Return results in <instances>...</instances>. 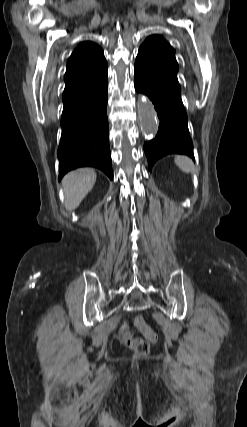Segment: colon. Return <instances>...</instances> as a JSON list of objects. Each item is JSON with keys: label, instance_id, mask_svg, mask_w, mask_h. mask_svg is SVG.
<instances>
[{"label": "colon", "instance_id": "obj_1", "mask_svg": "<svg viewBox=\"0 0 247 427\" xmlns=\"http://www.w3.org/2000/svg\"><path fill=\"white\" fill-rule=\"evenodd\" d=\"M134 326L145 339L129 337L126 339V345L139 355H147L150 351V343L157 341V334L141 316L135 318Z\"/></svg>", "mask_w": 247, "mask_h": 427}]
</instances>
